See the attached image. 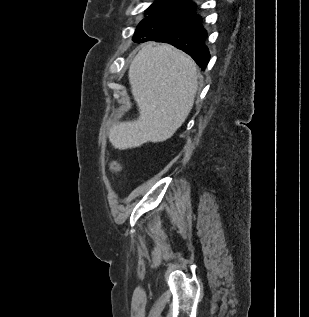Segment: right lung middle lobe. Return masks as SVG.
<instances>
[{
	"mask_svg": "<svg viewBox=\"0 0 309 317\" xmlns=\"http://www.w3.org/2000/svg\"><path fill=\"white\" fill-rule=\"evenodd\" d=\"M173 2H176V0H156L155 3H153L147 10L146 14H151L152 12H155L158 9H161Z\"/></svg>",
	"mask_w": 309,
	"mask_h": 317,
	"instance_id": "right-lung-middle-lobe-1",
	"label": "right lung middle lobe"
}]
</instances>
